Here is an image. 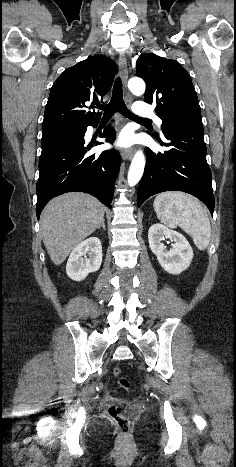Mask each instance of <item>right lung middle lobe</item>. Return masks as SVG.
Wrapping results in <instances>:
<instances>
[{
	"label": "right lung middle lobe",
	"mask_w": 236,
	"mask_h": 467,
	"mask_svg": "<svg viewBox=\"0 0 236 467\" xmlns=\"http://www.w3.org/2000/svg\"><path fill=\"white\" fill-rule=\"evenodd\" d=\"M80 130H82V128L54 130V131L43 132L42 140H45V139H48V138H53V137L64 135V134H68V133H72V132H76V131H80Z\"/></svg>",
	"instance_id": "dd1d6c3e"
}]
</instances>
